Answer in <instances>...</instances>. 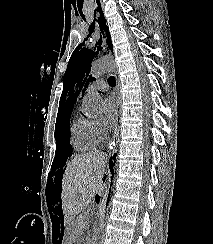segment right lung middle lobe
Here are the masks:
<instances>
[{"label":"right lung middle lobe","instance_id":"1","mask_svg":"<svg viewBox=\"0 0 213 244\" xmlns=\"http://www.w3.org/2000/svg\"><path fill=\"white\" fill-rule=\"evenodd\" d=\"M72 111L67 112L66 114L58 117L55 130V140H56V152L55 158L51 166V172L49 173V179H53L55 176H58V173L65 165L67 158L72 155V147L70 146V116Z\"/></svg>","mask_w":213,"mask_h":244}]
</instances>
